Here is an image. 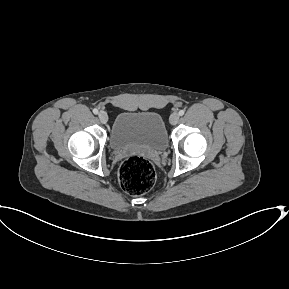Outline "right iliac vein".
<instances>
[{"instance_id":"right-iliac-vein-1","label":"right iliac vein","mask_w":289,"mask_h":289,"mask_svg":"<svg viewBox=\"0 0 289 289\" xmlns=\"http://www.w3.org/2000/svg\"><path fill=\"white\" fill-rule=\"evenodd\" d=\"M98 117H99V120L102 122V123H106L108 121V115L105 111H100L98 113Z\"/></svg>"}]
</instances>
